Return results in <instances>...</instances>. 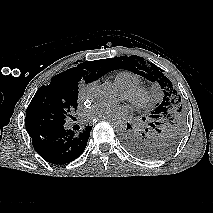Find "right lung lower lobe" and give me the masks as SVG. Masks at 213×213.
Instances as JSON below:
<instances>
[{
    "label": "right lung lower lobe",
    "instance_id": "obj_1",
    "mask_svg": "<svg viewBox=\"0 0 213 213\" xmlns=\"http://www.w3.org/2000/svg\"><path fill=\"white\" fill-rule=\"evenodd\" d=\"M92 126H87L79 134L66 130L64 125L49 127L33 136L32 144L36 152L47 162L63 165L79 157L85 150Z\"/></svg>",
    "mask_w": 213,
    "mask_h": 213
}]
</instances>
